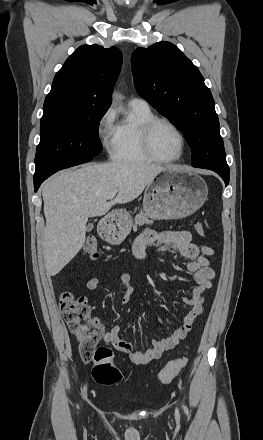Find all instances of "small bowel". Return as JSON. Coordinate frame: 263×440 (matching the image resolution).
Segmentation results:
<instances>
[{
    "instance_id": "c3829d8e",
    "label": "small bowel",
    "mask_w": 263,
    "mask_h": 440,
    "mask_svg": "<svg viewBox=\"0 0 263 440\" xmlns=\"http://www.w3.org/2000/svg\"><path fill=\"white\" fill-rule=\"evenodd\" d=\"M158 245L156 253L165 251H175L183 258L189 260L186 265L187 271L194 274L195 286L191 296L184 298L183 301L190 307L183 319V323L177 327L168 337L162 339H152L151 345L146 351L134 350L132 344L120 338V326L116 325L107 330L99 318H93V326L98 332L100 339L107 345H111L120 353L127 355L132 363L136 365H146L159 358L164 351L174 348L192 328L195 319L202 312L204 293L211 288L215 277L214 270L210 266L209 256L214 254V250L206 245L197 244L192 241V236L188 231H164L146 230L141 233L134 241L132 252L136 259H144L148 247ZM117 282L123 286L124 293L122 301H128L129 297L135 292L130 275L122 273L118 276ZM101 279L98 276L89 278L86 288L95 291L99 288Z\"/></svg>"
}]
</instances>
